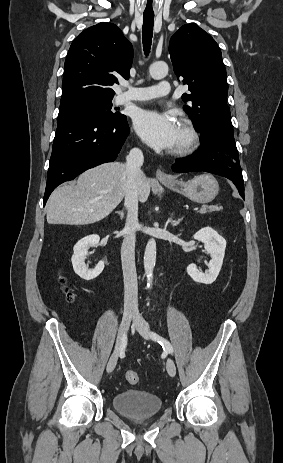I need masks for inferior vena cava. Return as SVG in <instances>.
Listing matches in <instances>:
<instances>
[{
	"label": "inferior vena cava",
	"instance_id": "inferior-vena-cava-1",
	"mask_svg": "<svg viewBox=\"0 0 283 463\" xmlns=\"http://www.w3.org/2000/svg\"><path fill=\"white\" fill-rule=\"evenodd\" d=\"M144 156L139 148H133L126 157L129 180L125 192V206L128 214L123 229L124 239L121 246V261L124 277V311L138 310V285L135 266V242L138 223L139 188L145 180L141 170Z\"/></svg>",
	"mask_w": 283,
	"mask_h": 463
}]
</instances>
